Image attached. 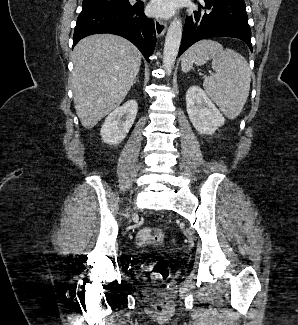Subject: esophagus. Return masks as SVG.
<instances>
[{"label":"esophagus","mask_w":298,"mask_h":325,"mask_svg":"<svg viewBox=\"0 0 298 325\" xmlns=\"http://www.w3.org/2000/svg\"><path fill=\"white\" fill-rule=\"evenodd\" d=\"M154 26L157 36L162 37L167 29V24L159 18H155Z\"/></svg>","instance_id":"obj_1"}]
</instances>
